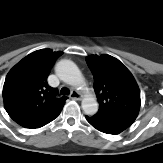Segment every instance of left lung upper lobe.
Here are the masks:
<instances>
[{"mask_svg": "<svg viewBox=\"0 0 163 163\" xmlns=\"http://www.w3.org/2000/svg\"><path fill=\"white\" fill-rule=\"evenodd\" d=\"M86 62L94 76L99 110L95 116L135 120L140 91L130 71L110 55H91Z\"/></svg>", "mask_w": 163, "mask_h": 163, "instance_id": "5c2ea615", "label": "left lung upper lobe"}]
</instances>
